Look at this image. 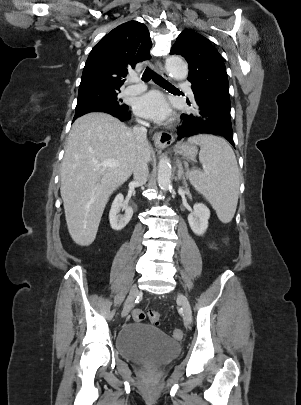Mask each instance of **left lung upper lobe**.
<instances>
[{"mask_svg": "<svg viewBox=\"0 0 301 405\" xmlns=\"http://www.w3.org/2000/svg\"><path fill=\"white\" fill-rule=\"evenodd\" d=\"M170 54L183 56L189 64L188 81L192 89L208 98L230 105L229 83L219 52L204 36L185 29Z\"/></svg>", "mask_w": 301, "mask_h": 405, "instance_id": "5c2ea615", "label": "left lung upper lobe"}]
</instances>
